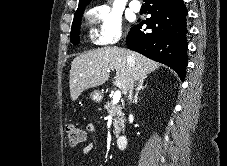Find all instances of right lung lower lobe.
<instances>
[{"label":"right lung lower lobe","instance_id":"right-lung-lower-lobe-1","mask_svg":"<svg viewBox=\"0 0 227 166\" xmlns=\"http://www.w3.org/2000/svg\"><path fill=\"white\" fill-rule=\"evenodd\" d=\"M151 17L133 26L126 38L131 50L174 69L181 79L187 66L186 16L182 0H145ZM146 24L148 33L140 29Z\"/></svg>","mask_w":227,"mask_h":166}]
</instances>
